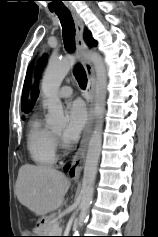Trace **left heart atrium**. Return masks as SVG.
Returning a JSON list of instances; mask_svg holds the SVG:
<instances>
[{
    "mask_svg": "<svg viewBox=\"0 0 158 237\" xmlns=\"http://www.w3.org/2000/svg\"><path fill=\"white\" fill-rule=\"evenodd\" d=\"M87 121L85 107L81 101H73L67 106V126L62 133V138L66 144L75 143Z\"/></svg>",
    "mask_w": 158,
    "mask_h": 237,
    "instance_id": "1",
    "label": "left heart atrium"
}]
</instances>
